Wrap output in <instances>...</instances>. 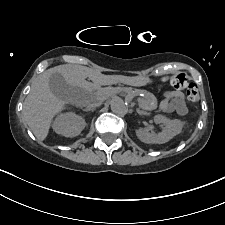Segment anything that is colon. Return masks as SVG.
<instances>
[{
	"label": "colon",
	"mask_w": 225,
	"mask_h": 225,
	"mask_svg": "<svg viewBox=\"0 0 225 225\" xmlns=\"http://www.w3.org/2000/svg\"><path fill=\"white\" fill-rule=\"evenodd\" d=\"M170 84L179 90H187L188 99L193 110L199 109L201 105L200 95L198 88L195 84L191 83L186 75L184 74H175L169 78H165Z\"/></svg>",
	"instance_id": "obj_1"
}]
</instances>
